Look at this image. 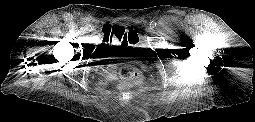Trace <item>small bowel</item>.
<instances>
[{
	"label": "small bowel",
	"mask_w": 255,
	"mask_h": 122,
	"mask_svg": "<svg viewBox=\"0 0 255 122\" xmlns=\"http://www.w3.org/2000/svg\"><path fill=\"white\" fill-rule=\"evenodd\" d=\"M106 26H109V24H106V25H104V27H103V29L106 27ZM128 27H130V26H128ZM103 36H104V42H103V44H102V48H104V49H108V48H110V47H112V46H114V45H116V44H118V43H126V42H128V41H126V42H121L117 37H115V36H109V35H106L105 33H104V31H103ZM129 42H134V41H129ZM128 42V43H129Z\"/></svg>",
	"instance_id": "small-bowel-1"
}]
</instances>
